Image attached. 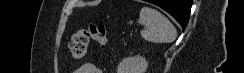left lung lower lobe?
Listing matches in <instances>:
<instances>
[{
	"instance_id": "obj_1",
	"label": "left lung lower lobe",
	"mask_w": 244,
	"mask_h": 73,
	"mask_svg": "<svg viewBox=\"0 0 244 73\" xmlns=\"http://www.w3.org/2000/svg\"><path fill=\"white\" fill-rule=\"evenodd\" d=\"M147 2L159 6L172 15L183 29L186 28L189 20L192 0H148Z\"/></svg>"
}]
</instances>
